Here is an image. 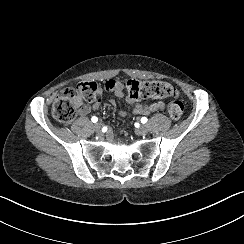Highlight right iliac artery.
Wrapping results in <instances>:
<instances>
[{
	"instance_id": "1",
	"label": "right iliac artery",
	"mask_w": 244,
	"mask_h": 244,
	"mask_svg": "<svg viewBox=\"0 0 244 244\" xmlns=\"http://www.w3.org/2000/svg\"><path fill=\"white\" fill-rule=\"evenodd\" d=\"M91 121H92L93 123H96V122L98 121V118L95 117V116H93V117L91 118Z\"/></svg>"
}]
</instances>
